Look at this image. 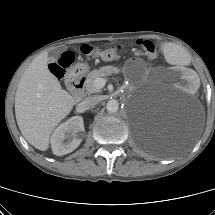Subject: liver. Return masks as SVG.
Here are the masks:
<instances>
[{
    "label": "liver",
    "mask_w": 215,
    "mask_h": 215,
    "mask_svg": "<svg viewBox=\"0 0 215 215\" xmlns=\"http://www.w3.org/2000/svg\"><path fill=\"white\" fill-rule=\"evenodd\" d=\"M74 104L49 71L48 53L38 55L23 73L15 95V116L23 137L36 149L47 150L52 131Z\"/></svg>",
    "instance_id": "6515ba94"
}]
</instances>
